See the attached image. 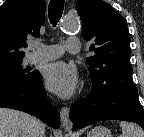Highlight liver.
I'll use <instances>...</instances> for the list:
<instances>
[{
    "label": "liver",
    "instance_id": "6515ba94",
    "mask_svg": "<svg viewBox=\"0 0 144 137\" xmlns=\"http://www.w3.org/2000/svg\"><path fill=\"white\" fill-rule=\"evenodd\" d=\"M44 124L21 111L0 108V137H44Z\"/></svg>",
    "mask_w": 144,
    "mask_h": 137
}]
</instances>
